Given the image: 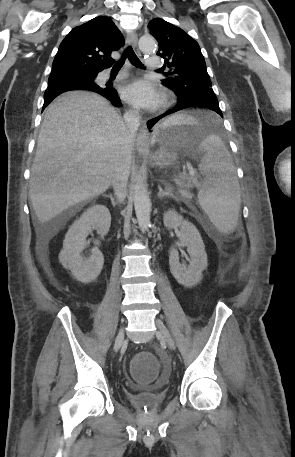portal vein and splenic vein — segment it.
Wrapping results in <instances>:
<instances>
[{
    "mask_svg": "<svg viewBox=\"0 0 295 457\" xmlns=\"http://www.w3.org/2000/svg\"><path fill=\"white\" fill-rule=\"evenodd\" d=\"M196 171L192 168L189 167V177L192 179L193 182L197 183V178L195 176Z\"/></svg>",
    "mask_w": 295,
    "mask_h": 457,
    "instance_id": "18ae733b",
    "label": "portal vein and splenic vein"
}]
</instances>
